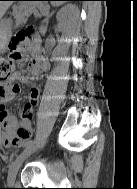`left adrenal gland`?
I'll list each match as a JSON object with an SVG mask.
<instances>
[{"mask_svg":"<svg viewBox=\"0 0 137 189\" xmlns=\"http://www.w3.org/2000/svg\"><path fill=\"white\" fill-rule=\"evenodd\" d=\"M51 16H52V13L46 17V19H45L46 24H48L49 18H50Z\"/></svg>","mask_w":137,"mask_h":189,"instance_id":"a2214340","label":"left adrenal gland"}]
</instances>
